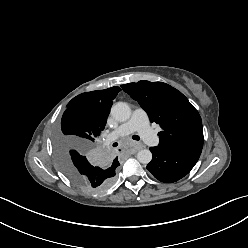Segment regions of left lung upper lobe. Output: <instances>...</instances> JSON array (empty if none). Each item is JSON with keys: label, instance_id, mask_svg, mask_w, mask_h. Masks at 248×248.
Returning a JSON list of instances; mask_svg holds the SVG:
<instances>
[{"label": "left lung upper lobe", "instance_id": "1", "mask_svg": "<svg viewBox=\"0 0 248 248\" xmlns=\"http://www.w3.org/2000/svg\"><path fill=\"white\" fill-rule=\"evenodd\" d=\"M122 89L158 123L159 147L170 148L203 143L202 120L198 111L177 89L163 82L139 81L121 85Z\"/></svg>", "mask_w": 248, "mask_h": 248}]
</instances>
